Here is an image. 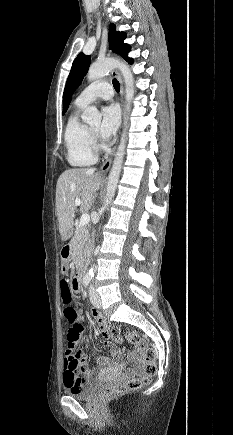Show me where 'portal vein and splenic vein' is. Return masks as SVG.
<instances>
[{"mask_svg":"<svg viewBox=\"0 0 233 435\" xmlns=\"http://www.w3.org/2000/svg\"><path fill=\"white\" fill-rule=\"evenodd\" d=\"M81 204V200L80 199H76L75 200V205L79 206ZM90 221V216L88 214H82L81 219H80V225L81 226H85L89 223Z\"/></svg>","mask_w":233,"mask_h":435,"instance_id":"obj_1","label":"portal vein and splenic vein"}]
</instances>
